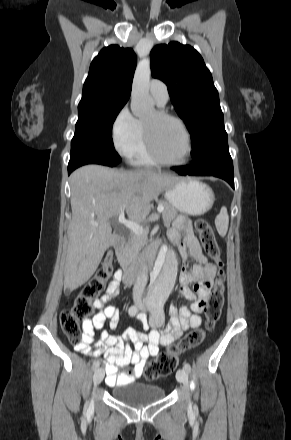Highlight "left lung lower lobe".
<instances>
[{"label": "left lung lower lobe", "instance_id": "1", "mask_svg": "<svg viewBox=\"0 0 291 440\" xmlns=\"http://www.w3.org/2000/svg\"><path fill=\"white\" fill-rule=\"evenodd\" d=\"M180 175L216 176L234 188L233 162L229 154L228 141L215 145L207 153L195 159L191 165L172 167Z\"/></svg>", "mask_w": 291, "mask_h": 440}]
</instances>
